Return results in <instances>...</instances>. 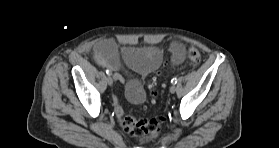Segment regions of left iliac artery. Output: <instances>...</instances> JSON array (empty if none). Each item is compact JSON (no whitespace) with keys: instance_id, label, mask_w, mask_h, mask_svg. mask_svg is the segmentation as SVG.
<instances>
[{"instance_id":"left-iliac-artery-1","label":"left iliac artery","mask_w":279,"mask_h":148,"mask_svg":"<svg viewBox=\"0 0 279 148\" xmlns=\"http://www.w3.org/2000/svg\"><path fill=\"white\" fill-rule=\"evenodd\" d=\"M177 81H178V80H177V78L175 77V78H173V79L171 80V83H172V84H176Z\"/></svg>"}]
</instances>
